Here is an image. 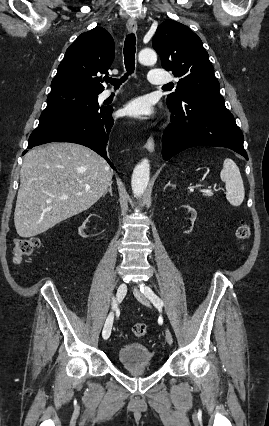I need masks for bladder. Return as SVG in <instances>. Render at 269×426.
<instances>
[{"instance_id":"1","label":"bladder","mask_w":269,"mask_h":426,"mask_svg":"<svg viewBox=\"0 0 269 426\" xmlns=\"http://www.w3.org/2000/svg\"><path fill=\"white\" fill-rule=\"evenodd\" d=\"M116 358L125 369L149 367L152 363L151 351L140 343L122 345L116 353Z\"/></svg>"}]
</instances>
